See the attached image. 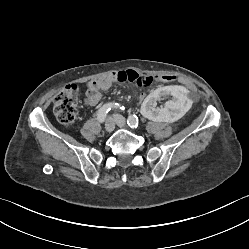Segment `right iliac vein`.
<instances>
[{"label": "right iliac vein", "instance_id": "63e3f726", "mask_svg": "<svg viewBox=\"0 0 249 249\" xmlns=\"http://www.w3.org/2000/svg\"><path fill=\"white\" fill-rule=\"evenodd\" d=\"M115 128V119L113 117H109L107 120H106V123H105V130L106 132H112Z\"/></svg>", "mask_w": 249, "mask_h": 249}]
</instances>
